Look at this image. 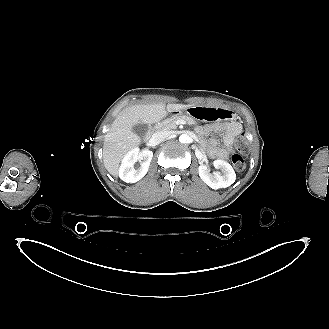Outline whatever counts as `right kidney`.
<instances>
[{
  "label": "right kidney",
  "mask_w": 329,
  "mask_h": 329,
  "mask_svg": "<svg viewBox=\"0 0 329 329\" xmlns=\"http://www.w3.org/2000/svg\"><path fill=\"white\" fill-rule=\"evenodd\" d=\"M153 157V152L144 150L140 152L138 147H135L128 151L122 160V164L119 168V177L126 183H135L142 179L148 172L150 162ZM142 160L141 166L138 169H134V164Z\"/></svg>",
  "instance_id": "ca27d5eb"
}]
</instances>
